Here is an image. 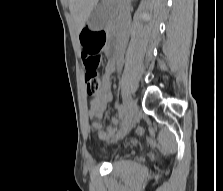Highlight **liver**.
Returning a JSON list of instances; mask_svg holds the SVG:
<instances>
[{
  "label": "liver",
  "mask_w": 223,
  "mask_h": 191,
  "mask_svg": "<svg viewBox=\"0 0 223 191\" xmlns=\"http://www.w3.org/2000/svg\"><path fill=\"white\" fill-rule=\"evenodd\" d=\"M115 2L117 0H111ZM69 10L74 19L78 31L84 27L89 14L95 8L98 0H68Z\"/></svg>",
  "instance_id": "1"
}]
</instances>
